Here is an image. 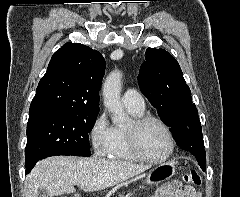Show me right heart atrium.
I'll list each match as a JSON object with an SVG mask.
<instances>
[{
    "label": "right heart atrium",
    "instance_id": "obj_1",
    "mask_svg": "<svg viewBox=\"0 0 240 197\" xmlns=\"http://www.w3.org/2000/svg\"><path fill=\"white\" fill-rule=\"evenodd\" d=\"M89 140L97 156H107L113 142V127L110 125L105 112L100 113L91 124Z\"/></svg>",
    "mask_w": 240,
    "mask_h": 197
}]
</instances>
